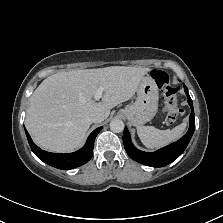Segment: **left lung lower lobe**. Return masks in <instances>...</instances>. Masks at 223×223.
<instances>
[{
	"label": "left lung lower lobe",
	"instance_id": "left-lung-lower-lobe-1",
	"mask_svg": "<svg viewBox=\"0 0 223 223\" xmlns=\"http://www.w3.org/2000/svg\"><path fill=\"white\" fill-rule=\"evenodd\" d=\"M184 90L188 97V103L191 107V114L189 117L190 127L188 132L177 142L170 144L156 152L146 153L134 147L130 139L129 131L127 128H125L123 132V143L127 154L133 160L147 166L163 167L176 160L184 152L195 130V114L192 99L190 98L188 89L185 85Z\"/></svg>",
	"mask_w": 223,
	"mask_h": 223
}]
</instances>
